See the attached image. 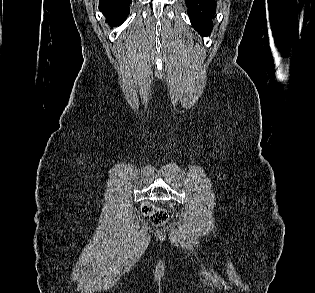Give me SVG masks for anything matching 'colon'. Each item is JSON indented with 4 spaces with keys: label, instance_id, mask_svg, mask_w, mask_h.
Segmentation results:
<instances>
[{
    "label": "colon",
    "instance_id": "1",
    "mask_svg": "<svg viewBox=\"0 0 315 293\" xmlns=\"http://www.w3.org/2000/svg\"><path fill=\"white\" fill-rule=\"evenodd\" d=\"M141 210L144 215L150 218L152 224L155 226H163L168 221L167 211L150 203H144Z\"/></svg>",
    "mask_w": 315,
    "mask_h": 293
}]
</instances>
